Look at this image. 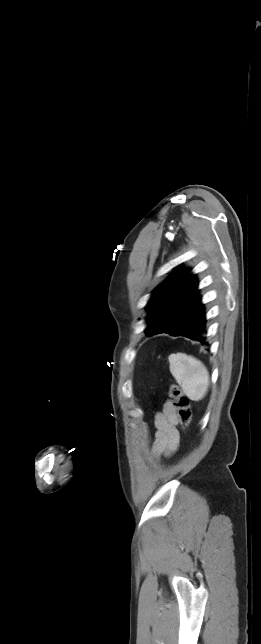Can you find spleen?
I'll use <instances>...</instances> for the list:
<instances>
[{
    "label": "spleen",
    "instance_id": "3e777b00",
    "mask_svg": "<svg viewBox=\"0 0 261 644\" xmlns=\"http://www.w3.org/2000/svg\"><path fill=\"white\" fill-rule=\"evenodd\" d=\"M168 360L170 372L184 394L193 401L202 400L209 386V373L205 365L193 356L180 352L171 354Z\"/></svg>",
    "mask_w": 261,
    "mask_h": 644
}]
</instances>
